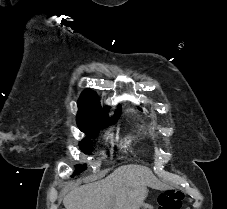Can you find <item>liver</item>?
I'll use <instances>...</instances> for the list:
<instances>
[{
	"label": "liver",
	"mask_w": 227,
	"mask_h": 209,
	"mask_svg": "<svg viewBox=\"0 0 227 209\" xmlns=\"http://www.w3.org/2000/svg\"><path fill=\"white\" fill-rule=\"evenodd\" d=\"M155 179L148 167L123 165L103 181L82 185L63 199L65 209H139L147 193L144 185Z\"/></svg>",
	"instance_id": "liver-1"
}]
</instances>
